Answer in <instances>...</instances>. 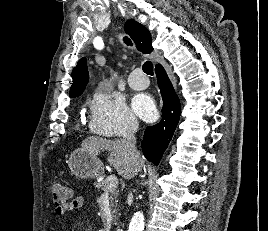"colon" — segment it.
<instances>
[{
  "instance_id": "5ec220e1",
  "label": "colon",
  "mask_w": 268,
  "mask_h": 231,
  "mask_svg": "<svg viewBox=\"0 0 268 231\" xmlns=\"http://www.w3.org/2000/svg\"><path fill=\"white\" fill-rule=\"evenodd\" d=\"M50 190L56 207L67 209L70 202V189L60 182H54L51 184Z\"/></svg>"
}]
</instances>
